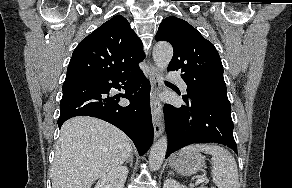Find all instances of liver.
Here are the masks:
<instances>
[{
	"instance_id": "liver-1",
	"label": "liver",
	"mask_w": 292,
	"mask_h": 188,
	"mask_svg": "<svg viewBox=\"0 0 292 188\" xmlns=\"http://www.w3.org/2000/svg\"><path fill=\"white\" fill-rule=\"evenodd\" d=\"M132 154L131 140L97 118L78 116L61 127L51 168L52 188H90Z\"/></svg>"
}]
</instances>
